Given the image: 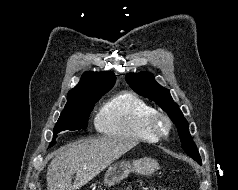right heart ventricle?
<instances>
[{
    "label": "right heart ventricle",
    "mask_w": 238,
    "mask_h": 190,
    "mask_svg": "<svg viewBox=\"0 0 238 190\" xmlns=\"http://www.w3.org/2000/svg\"><path fill=\"white\" fill-rule=\"evenodd\" d=\"M153 111L154 108L140 96L120 92L100 107L95 127L101 134L111 137L156 142L157 137L147 126V118Z\"/></svg>",
    "instance_id": "right-heart-ventricle-1"
}]
</instances>
